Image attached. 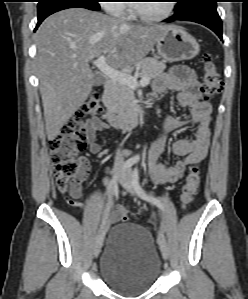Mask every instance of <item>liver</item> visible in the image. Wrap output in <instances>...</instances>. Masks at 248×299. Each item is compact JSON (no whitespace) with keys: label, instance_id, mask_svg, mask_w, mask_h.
Wrapping results in <instances>:
<instances>
[{"label":"liver","instance_id":"liver-1","mask_svg":"<svg viewBox=\"0 0 248 299\" xmlns=\"http://www.w3.org/2000/svg\"><path fill=\"white\" fill-rule=\"evenodd\" d=\"M166 27L130 25L79 7L45 19L36 33V68L48 140L90 95L91 60L105 55L113 68L130 67L148 55Z\"/></svg>","mask_w":248,"mask_h":299}]
</instances>
